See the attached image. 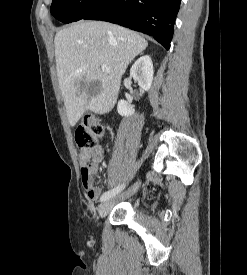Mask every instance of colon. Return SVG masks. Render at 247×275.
<instances>
[{
  "label": "colon",
  "instance_id": "1",
  "mask_svg": "<svg viewBox=\"0 0 247 275\" xmlns=\"http://www.w3.org/2000/svg\"><path fill=\"white\" fill-rule=\"evenodd\" d=\"M103 135V129L95 122L86 119L75 131L74 138L77 147L86 154L87 158L97 157L96 149Z\"/></svg>",
  "mask_w": 247,
  "mask_h": 275
}]
</instances>
